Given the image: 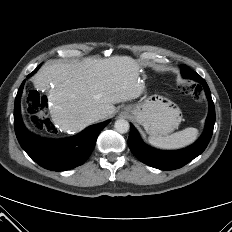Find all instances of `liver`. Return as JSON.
<instances>
[{
    "mask_svg": "<svg viewBox=\"0 0 232 232\" xmlns=\"http://www.w3.org/2000/svg\"><path fill=\"white\" fill-rule=\"evenodd\" d=\"M139 64L128 56L85 58L81 62H55L42 67L33 83L39 90L51 85L50 114L64 132L76 133L93 123L96 112L104 118L115 113L114 104L141 96Z\"/></svg>",
    "mask_w": 232,
    "mask_h": 232,
    "instance_id": "1",
    "label": "liver"
}]
</instances>
